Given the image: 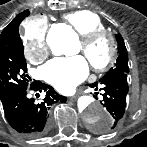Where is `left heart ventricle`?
I'll return each mask as SVG.
<instances>
[{"label": "left heart ventricle", "mask_w": 147, "mask_h": 147, "mask_svg": "<svg viewBox=\"0 0 147 147\" xmlns=\"http://www.w3.org/2000/svg\"><path fill=\"white\" fill-rule=\"evenodd\" d=\"M79 51H82L81 44H79ZM107 54V45L104 40H101L93 49L91 57L95 61H102Z\"/></svg>", "instance_id": "left-heart-ventricle-1"}]
</instances>
